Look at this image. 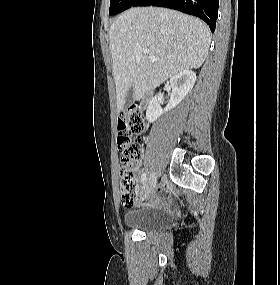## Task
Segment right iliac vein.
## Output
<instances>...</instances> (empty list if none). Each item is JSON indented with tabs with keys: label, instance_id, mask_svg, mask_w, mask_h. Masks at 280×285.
I'll list each match as a JSON object with an SVG mask.
<instances>
[{
	"label": "right iliac vein",
	"instance_id": "right-iliac-vein-1",
	"mask_svg": "<svg viewBox=\"0 0 280 285\" xmlns=\"http://www.w3.org/2000/svg\"><path fill=\"white\" fill-rule=\"evenodd\" d=\"M156 185V175L154 173H152L147 180L145 181V183L143 184L142 187V198H147L152 191L154 190Z\"/></svg>",
	"mask_w": 280,
	"mask_h": 285
}]
</instances>
